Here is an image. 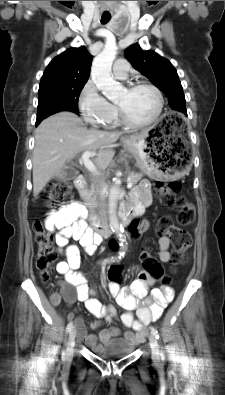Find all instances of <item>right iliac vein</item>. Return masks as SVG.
<instances>
[{
	"label": "right iliac vein",
	"instance_id": "1",
	"mask_svg": "<svg viewBox=\"0 0 225 395\" xmlns=\"http://www.w3.org/2000/svg\"><path fill=\"white\" fill-rule=\"evenodd\" d=\"M76 330L72 329L69 333L67 349H66V361H71L74 354Z\"/></svg>",
	"mask_w": 225,
	"mask_h": 395
}]
</instances>
